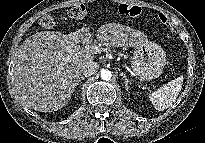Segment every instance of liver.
<instances>
[{"instance_id":"obj_1","label":"liver","mask_w":205,"mask_h":143,"mask_svg":"<svg viewBox=\"0 0 205 143\" xmlns=\"http://www.w3.org/2000/svg\"><path fill=\"white\" fill-rule=\"evenodd\" d=\"M87 30L82 28L68 35L37 32L16 49L12 77L23 105L40 112H52L67 104L82 67L95 58L94 53L79 45ZM96 36L104 46L113 47H135L147 41L142 32L116 23L102 25Z\"/></svg>"}]
</instances>
